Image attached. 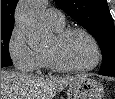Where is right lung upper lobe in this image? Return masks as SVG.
I'll return each mask as SVG.
<instances>
[{"instance_id":"obj_1","label":"right lung upper lobe","mask_w":115,"mask_h":99,"mask_svg":"<svg viewBox=\"0 0 115 99\" xmlns=\"http://www.w3.org/2000/svg\"><path fill=\"white\" fill-rule=\"evenodd\" d=\"M18 0H1V28L14 27V11Z\"/></svg>"}]
</instances>
